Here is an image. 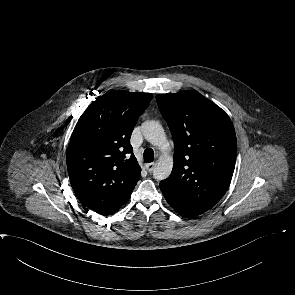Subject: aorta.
Segmentation results:
<instances>
[{"label": "aorta", "mask_w": 295, "mask_h": 295, "mask_svg": "<svg viewBox=\"0 0 295 295\" xmlns=\"http://www.w3.org/2000/svg\"><path fill=\"white\" fill-rule=\"evenodd\" d=\"M141 130L144 138L164 153L153 168V177L158 181L168 178L173 168V158L166 154L168 142L162 125L149 120L142 124Z\"/></svg>", "instance_id": "obj_1"}]
</instances>
